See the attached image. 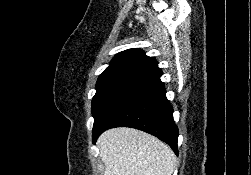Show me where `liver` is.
Returning <instances> with one entry per match:
<instances>
[{"instance_id": "1", "label": "liver", "mask_w": 251, "mask_h": 175, "mask_svg": "<svg viewBox=\"0 0 251 175\" xmlns=\"http://www.w3.org/2000/svg\"><path fill=\"white\" fill-rule=\"evenodd\" d=\"M97 145L105 163L104 175H172L176 155L169 145L139 129L113 127Z\"/></svg>"}]
</instances>
